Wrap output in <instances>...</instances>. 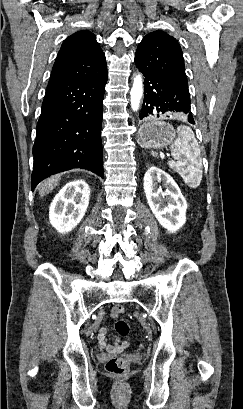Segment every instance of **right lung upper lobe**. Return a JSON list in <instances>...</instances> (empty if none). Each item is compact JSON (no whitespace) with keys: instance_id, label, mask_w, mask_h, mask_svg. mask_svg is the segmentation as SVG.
I'll return each mask as SVG.
<instances>
[{"instance_id":"cb5924a9","label":"right lung upper lobe","mask_w":243,"mask_h":409,"mask_svg":"<svg viewBox=\"0 0 243 409\" xmlns=\"http://www.w3.org/2000/svg\"><path fill=\"white\" fill-rule=\"evenodd\" d=\"M105 67V55L96 36L88 30H82L63 42L50 80L84 79L101 72Z\"/></svg>"}]
</instances>
